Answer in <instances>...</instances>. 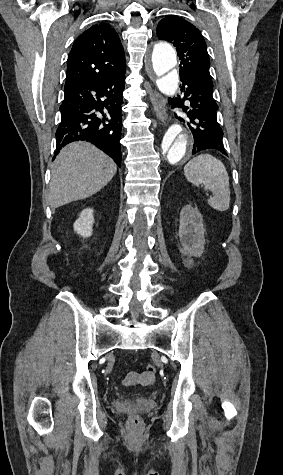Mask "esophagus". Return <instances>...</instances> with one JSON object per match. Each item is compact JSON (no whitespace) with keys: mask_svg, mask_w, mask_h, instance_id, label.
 <instances>
[{"mask_svg":"<svg viewBox=\"0 0 283 475\" xmlns=\"http://www.w3.org/2000/svg\"><path fill=\"white\" fill-rule=\"evenodd\" d=\"M151 102L158 119L165 121L168 118V113L166 110V100L164 97L157 91H153L151 95Z\"/></svg>","mask_w":283,"mask_h":475,"instance_id":"34e87169","label":"esophagus"}]
</instances>
